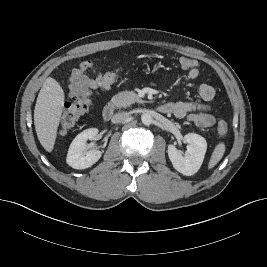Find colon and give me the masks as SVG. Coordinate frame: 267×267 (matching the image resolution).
I'll list each match as a JSON object with an SVG mask.
<instances>
[{
  "label": "colon",
  "mask_w": 267,
  "mask_h": 267,
  "mask_svg": "<svg viewBox=\"0 0 267 267\" xmlns=\"http://www.w3.org/2000/svg\"><path fill=\"white\" fill-rule=\"evenodd\" d=\"M180 65L185 70L197 68L198 63L194 59L183 57L180 59ZM121 69L108 71L101 75L97 88L105 89L110 87L119 77ZM91 99L89 95L77 93L71 97L70 101L65 104L61 116L59 132L61 135L67 134L78 122L79 118L84 115L90 108ZM218 135L224 137L228 132V126L225 121H219L217 125Z\"/></svg>",
  "instance_id": "5ec220e1"
}]
</instances>
